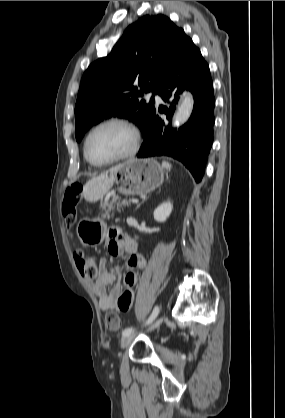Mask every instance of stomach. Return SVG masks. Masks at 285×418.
<instances>
[{"label":"stomach","mask_w":285,"mask_h":418,"mask_svg":"<svg viewBox=\"0 0 285 418\" xmlns=\"http://www.w3.org/2000/svg\"><path fill=\"white\" fill-rule=\"evenodd\" d=\"M118 190L125 195L148 193L164 181V168L154 159H129L113 172ZM107 226L100 218L83 219L77 226V235L84 244L101 243Z\"/></svg>","instance_id":"obj_1"}]
</instances>
